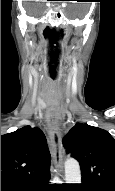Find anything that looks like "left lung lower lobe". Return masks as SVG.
Returning a JSON list of instances; mask_svg holds the SVG:
<instances>
[{
	"label": "left lung lower lobe",
	"instance_id": "left-lung-lower-lobe-1",
	"mask_svg": "<svg viewBox=\"0 0 115 191\" xmlns=\"http://www.w3.org/2000/svg\"><path fill=\"white\" fill-rule=\"evenodd\" d=\"M79 190L80 191H102L95 187H88V186H82V185L79 187Z\"/></svg>",
	"mask_w": 115,
	"mask_h": 191
}]
</instances>
